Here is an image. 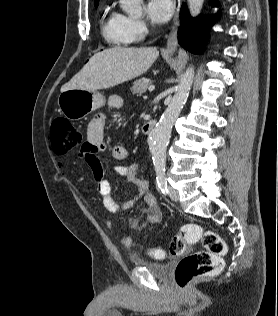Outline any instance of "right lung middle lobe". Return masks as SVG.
<instances>
[{
  "mask_svg": "<svg viewBox=\"0 0 278 316\" xmlns=\"http://www.w3.org/2000/svg\"><path fill=\"white\" fill-rule=\"evenodd\" d=\"M98 6V2H95V7H97Z\"/></svg>",
  "mask_w": 278,
  "mask_h": 316,
  "instance_id": "obj_1",
  "label": "right lung middle lobe"
}]
</instances>
